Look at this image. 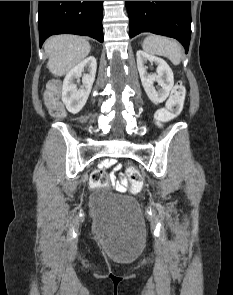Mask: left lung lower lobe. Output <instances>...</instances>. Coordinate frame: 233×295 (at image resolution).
Wrapping results in <instances>:
<instances>
[{
	"label": "left lung lower lobe",
	"mask_w": 233,
	"mask_h": 295,
	"mask_svg": "<svg viewBox=\"0 0 233 295\" xmlns=\"http://www.w3.org/2000/svg\"><path fill=\"white\" fill-rule=\"evenodd\" d=\"M129 36L152 32L177 39L188 52L191 37L190 1H126Z\"/></svg>",
	"instance_id": "0a47b994"
}]
</instances>
